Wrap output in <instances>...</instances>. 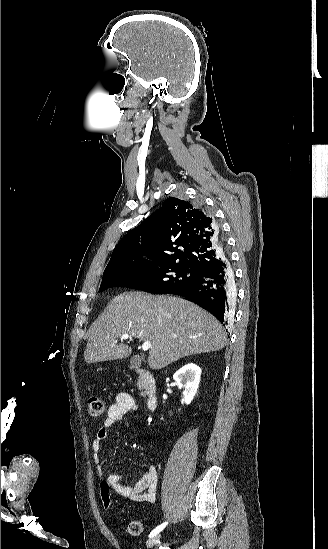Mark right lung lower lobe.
<instances>
[{
	"instance_id": "1",
	"label": "right lung lower lobe",
	"mask_w": 328,
	"mask_h": 549,
	"mask_svg": "<svg viewBox=\"0 0 328 549\" xmlns=\"http://www.w3.org/2000/svg\"><path fill=\"white\" fill-rule=\"evenodd\" d=\"M235 291L234 274L225 256L197 271L189 283L164 292L188 298L213 314L223 325L228 324V294Z\"/></svg>"
}]
</instances>
